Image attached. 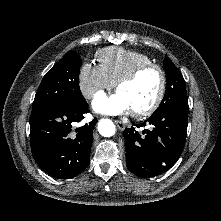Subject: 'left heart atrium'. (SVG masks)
Instances as JSON below:
<instances>
[{
    "mask_svg": "<svg viewBox=\"0 0 221 221\" xmlns=\"http://www.w3.org/2000/svg\"><path fill=\"white\" fill-rule=\"evenodd\" d=\"M93 108L105 114H123L131 111L130 105L119 92L111 96L99 94L93 101Z\"/></svg>",
    "mask_w": 221,
    "mask_h": 221,
    "instance_id": "obj_1",
    "label": "left heart atrium"
}]
</instances>
